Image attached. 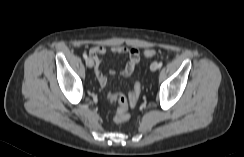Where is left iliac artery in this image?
<instances>
[{"label": "left iliac artery", "mask_w": 244, "mask_h": 157, "mask_svg": "<svg viewBox=\"0 0 244 157\" xmlns=\"http://www.w3.org/2000/svg\"><path fill=\"white\" fill-rule=\"evenodd\" d=\"M162 64H163L162 62H159L158 63V68H161L162 67Z\"/></svg>", "instance_id": "left-iliac-artery-1"}]
</instances>
